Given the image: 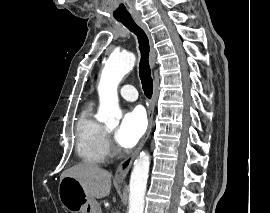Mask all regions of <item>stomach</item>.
Instances as JSON below:
<instances>
[{
  "label": "stomach",
  "mask_w": 270,
  "mask_h": 213,
  "mask_svg": "<svg viewBox=\"0 0 270 213\" xmlns=\"http://www.w3.org/2000/svg\"><path fill=\"white\" fill-rule=\"evenodd\" d=\"M58 195L62 206L71 213H101L99 203L91 198L73 177L61 178Z\"/></svg>",
  "instance_id": "stomach-1"
}]
</instances>
